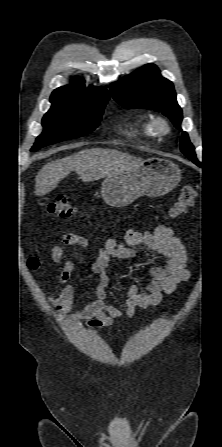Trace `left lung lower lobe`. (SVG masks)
I'll use <instances>...</instances> for the list:
<instances>
[{
    "label": "left lung lower lobe",
    "instance_id": "0a47b994",
    "mask_svg": "<svg viewBox=\"0 0 222 447\" xmlns=\"http://www.w3.org/2000/svg\"><path fill=\"white\" fill-rule=\"evenodd\" d=\"M196 165H198V166H201V163L197 160V159H195V160H192Z\"/></svg>",
    "mask_w": 222,
    "mask_h": 447
}]
</instances>
